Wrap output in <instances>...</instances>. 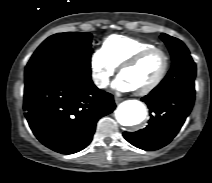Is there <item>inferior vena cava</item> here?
<instances>
[{"label":"inferior vena cava","instance_id":"1","mask_svg":"<svg viewBox=\"0 0 212 183\" xmlns=\"http://www.w3.org/2000/svg\"><path fill=\"white\" fill-rule=\"evenodd\" d=\"M94 82H95V84H96V86H98V87H103V83L99 80V79H95L94 80Z\"/></svg>","mask_w":212,"mask_h":183}]
</instances>
